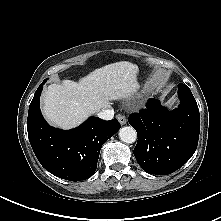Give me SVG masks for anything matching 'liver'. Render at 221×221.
Here are the masks:
<instances>
[{
	"label": "liver",
	"mask_w": 221,
	"mask_h": 221,
	"mask_svg": "<svg viewBox=\"0 0 221 221\" xmlns=\"http://www.w3.org/2000/svg\"><path fill=\"white\" fill-rule=\"evenodd\" d=\"M137 74V65L121 61L95 69L78 82L51 84L43 95V113L54 126L74 128L109 108L112 101L133 95L138 87Z\"/></svg>",
	"instance_id": "obj_1"
}]
</instances>
